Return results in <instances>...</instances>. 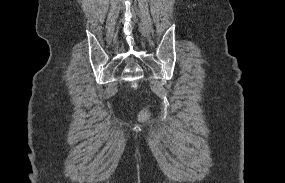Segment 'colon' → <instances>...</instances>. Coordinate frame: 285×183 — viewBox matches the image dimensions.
<instances>
[{"label":"colon","instance_id":"obj_1","mask_svg":"<svg viewBox=\"0 0 285 183\" xmlns=\"http://www.w3.org/2000/svg\"><path fill=\"white\" fill-rule=\"evenodd\" d=\"M139 116L141 120H147L149 118V111L145 109L141 111Z\"/></svg>","mask_w":285,"mask_h":183}]
</instances>
